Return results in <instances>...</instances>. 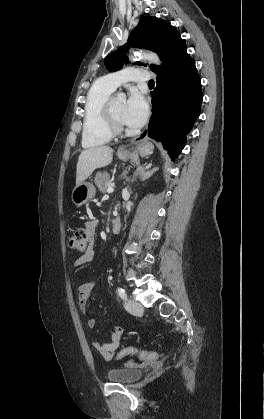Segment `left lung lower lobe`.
Listing matches in <instances>:
<instances>
[{
    "label": "left lung lower lobe",
    "mask_w": 264,
    "mask_h": 419,
    "mask_svg": "<svg viewBox=\"0 0 264 419\" xmlns=\"http://www.w3.org/2000/svg\"><path fill=\"white\" fill-rule=\"evenodd\" d=\"M163 64L155 72L156 88L148 136L161 142L172 160L186 143L200 115L203 99L201 81L194 60L186 51L185 40L178 39L162 53Z\"/></svg>",
    "instance_id": "1"
}]
</instances>
